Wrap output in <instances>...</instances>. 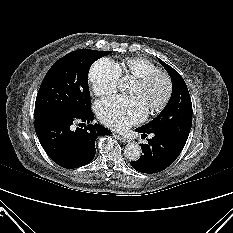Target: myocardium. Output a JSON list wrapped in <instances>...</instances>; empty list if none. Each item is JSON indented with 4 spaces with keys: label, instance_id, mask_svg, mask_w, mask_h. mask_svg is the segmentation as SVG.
Returning <instances> with one entry per match:
<instances>
[{
    "label": "myocardium",
    "instance_id": "myocardium-1",
    "mask_svg": "<svg viewBox=\"0 0 233 233\" xmlns=\"http://www.w3.org/2000/svg\"><path fill=\"white\" fill-rule=\"evenodd\" d=\"M156 77H162L164 79V81L166 83V92H165V95L160 103H158L156 106L147 110V113L149 115H156V114L160 113L168 105V103L172 97V93H173L172 80L166 72L161 71V70L151 71V72L146 73L145 75H143L141 77L136 78V80H135V82L139 86L144 87Z\"/></svg>",
    "mask_w": 233,
    "mask_h": 233
}]
</instances>
